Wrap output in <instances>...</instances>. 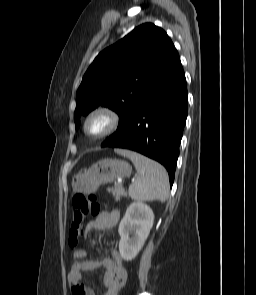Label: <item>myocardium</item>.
<instances>
[{"label":"myocardium","instance_id":"obj_1","mask_svg":"<svg viewBox=\"0 0 256 295\" xmlns=\"http://www.w3.org/2000/svg\"><path fill=\"white\" fill-rule=\"evenodd\" d=\"M97 118L103 121V128L99 132L91 134L88 131V126L91 121ZM118 124L119 117L114 110L106 106H99L90 111L84 118V121L82 123V132L84 136L88 139L100 140L111 135L116 130Z\"/></svg>","mask_w":256,"mask_h":295}]
</instances>
